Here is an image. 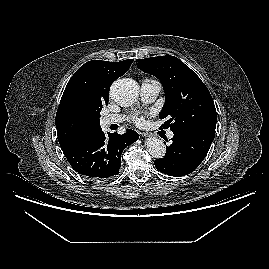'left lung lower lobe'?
Segmentation results:
<instances>
[{
	"mask_svg": "<svg viewBox=\"0 0 269 269\" xmlns=\"http://www.w3.org/2000/svg\"><path fill=\"white\" fill-rule=\"evenodd\" d=\"M215 134L207 131L174 133L166 156L155 160L156 168L169 176H184L193 172L206 157Z\"/></svg>",
	"mask_w": 269,
	"mask_h": 269,
	"instance_id": "left-lung-lower-lobe-1",
	"label": "left lung lower lobe"
}]
</instances>
